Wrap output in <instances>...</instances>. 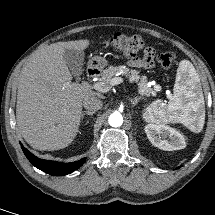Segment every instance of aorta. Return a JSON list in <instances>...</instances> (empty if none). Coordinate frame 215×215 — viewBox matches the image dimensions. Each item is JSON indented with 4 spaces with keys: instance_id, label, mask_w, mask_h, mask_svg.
<instances>
[{
    "instance_id": "1",
    "label": "aorta",
    "mask_w": 215,
    "mask_h": 215,
    "mask_svg": "<svg viewBox=\"0 0 215 215\" xmlns=\"http://www.w3.org/2000/svg\"><path fill=\"white\" fill-rule=\"evenodd\" d=\"M108 122L112 127H120L123 124V117L120 113H113L109 116Z\"/></svg>"
}]
</instances>
